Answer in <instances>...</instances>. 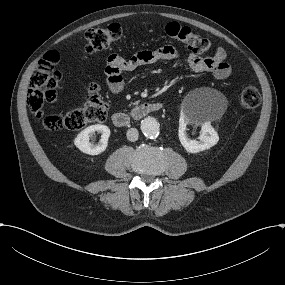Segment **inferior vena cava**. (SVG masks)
Segmentation results:
<instances>
[{
	"label": "inferior vena cava",
	"mask_w": 285,
	"mask_h": 285,
	"mask_svg": "<svg viewBox=\"0 0 285 285\" xmlns=\"http://www.w3.org/2000/svg\"><path fill=\"white\" fill-rule=\"evenodd\" d=\"M127 139L132 142L136 141L138 139V130L136 128L128 129Z\"/></svg>",
	"instance_id": "obj_1"
}]
</instances>
